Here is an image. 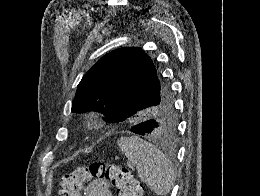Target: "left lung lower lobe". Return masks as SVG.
I'll return each instance as SVG.
<instances>
[{"mask_svg": "<svg viewBox=\"0 0 260 196\" xmlns=\"http://www.w3.org/2000/svg\"><path fill=\"white\" fill-rule=\"evenodd\" d=\"M135 112V109L129 107H116L114 110H107L103 114L106 115V120L109 122H122L128 120ZM155 128V123L152 120H147L138 123L131 127L130 131L136 134L149 136Z\"/></svg>", "mask_w": 260, "mask_h": 196, "instance_id": "obj_1", "label": "left lung lower lobe"}]
</instances>
